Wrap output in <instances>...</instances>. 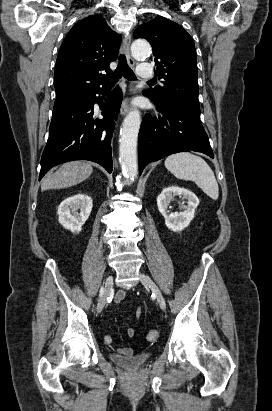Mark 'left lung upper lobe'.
Wrapping results in <instances>:
<instances>
[{
    "instance_id": "5c2ea615",
    "label": "left lung upper lobe",
    "mask_w": 272,
    "mask_h": 411,
    "mask_svg": "<svg viewBox=\"0 0 272 411\" xmlns=\"http://www.w3.org/2000/svg\"><path fill=\"white\" fill-rule=\"evenodd\" d=\"M133 37L150 42L156 75L163 79L162 86L146 90V95L154 101L200 113L196 50L185 29L159 16L140 25Z\"/></svg>"
}]
</instances>
